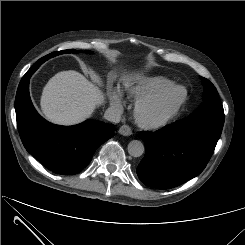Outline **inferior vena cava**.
<instances>
[{"instance_id":"obj_1","label":"inferior vena cava","mask_w":245,"mask_h":245,"mask_svg":"<svg viewBox=\"0 0 245 245\" xmlns=\"http://www.w3.org/2000/svg\"><path fill=\"white\" fill-rule=\"evenodd\" d=\"M104 118L113 123H119L121 120V112L115 108H108L104 113Z\"/></svg>"}]
</instances>
